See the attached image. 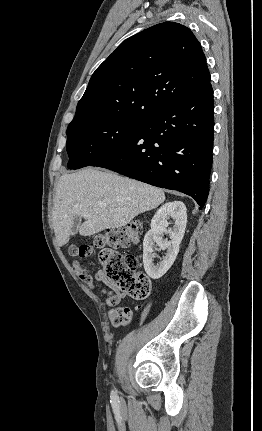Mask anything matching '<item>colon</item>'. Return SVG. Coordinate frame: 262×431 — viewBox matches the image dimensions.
Masks as SVG:
<instances>
[{"mask_svg":"<svg viewBox=\"0 0 262 431\" xmlns=\"http://www.w3.org/2000/svg\"><path fill=\"white\" fill-rule=\"evenodd\" d=\"M138 238V225L130 224L106 233L98 234L85 244L72 245L69 253L76 259L73 262L75 271L80 275L86 273V267L79 259L90 258L96 250H101V278L109 286L126 291L135 300H144L150 293L148 277L138 270L139 260L134 256L122 255L114 249L125 248L135 243ZM131 311L128 308L118 310L111 316L115 327L128 324Z\"/></svg>","mask_w":262,"mask_h":431,"instance_id":"1","label":"colon"}]
</instances>
